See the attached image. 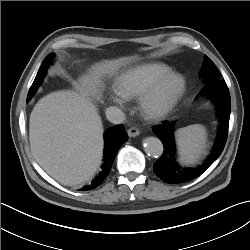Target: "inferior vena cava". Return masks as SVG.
<instances>
[{
    "mask_svg": "<svg viewBox=\"0 0 250 250\" xmlns=\"http://www.w3.org/2000/svg\"><path fill=\"white\" fill-rule=\"evenodd\" d=\"M105 113L107 119L113 124H121L125 120V114L115 106L108 107Z\"/></svg>",
    "mask_w": 250,
    "mask_h": 250,
    "instance_id": "1",
    "label": "inferior vena cava"
}]
</instances>
